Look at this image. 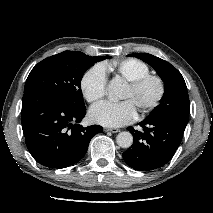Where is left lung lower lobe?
I'll use <instances>...</instances> for the list:
<instances>
[{"label": "left lung lower lobe", "mask_w": 213, "mask_h": 213, "mask_svg": "<svg viewBox=\"0 0 213 213\" xmlns=\"http://www.w3.org/2000/svg\"><path fill=\"white\" fill-rule=\"evenodd\" d=\"M187 123V120L177 116H163L140 122L143 132L128 127L134 142L122 154L123 159L138 171L162 167L169 162L180 145Z\"/></svg>", "instance_id": "0a47b994"}]
</instances>
